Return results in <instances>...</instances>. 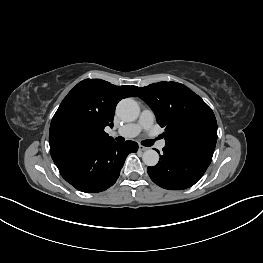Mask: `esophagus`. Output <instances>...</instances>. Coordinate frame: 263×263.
<instances>
[{"label":"esophagus","mask_w":263,"mask_h":263,"mask_svg":"<svg viewBox=\"0 0 263 263\" xmlns=\"http://www.w3.org/2000/svg\"><path fill=\"white\" fill-rule=\"evenodd\" d=\"M139 150L140 151H145V150H147L148 149V147H145V146H143V145H141V144H139Z\"/></svg>","instance_id":"esophagus-1"}]
</instances>
